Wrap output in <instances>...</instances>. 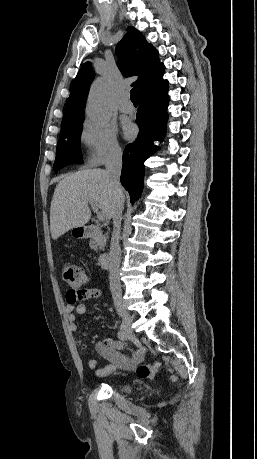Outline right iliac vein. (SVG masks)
<instances>
[{
	"label": "right iliac vein",
	"instance_id": "obj_1",
	"mask_svg": "<svg viewBox=\"0 0 257 459\" xmlns=\"http://www.w3.org/2000/svg\"><path fill=\"white\" fill-rule=\"evenodd\" d=\"M118 314L122 319V328L125 330V332L129 335L130 338L135 339V334L133 332L132 328V318L130 314L128 313L127 310H125L122 307H119L118 309Z\"/></svg>",
	"mask_w": 257,
	"mask_h": 459
}]
</instances>
